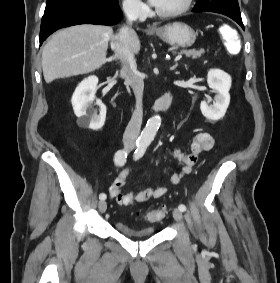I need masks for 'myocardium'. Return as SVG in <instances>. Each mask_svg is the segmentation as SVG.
I'll return each instance as SVG.
<instances>
[{
    "instance_id": "myocardium-1",
    "label": "myocardium",
    "mask_w": 280,
    "mask_h": 283,
    "mask_svg": "<svg viewBox=\"0 0 280 283\" xmlns=\"http://www.w3.org/2000/svg\"><path fill=\"white\" fill-rule=\"evenodd\" d=\"M193 4V0H184L182 5L179 6L178 8L170 11H161L157 8H155V13L162 18H171V17H176L179 15L184 14L187 12Z\"/></svg>"
}]
</instances>
